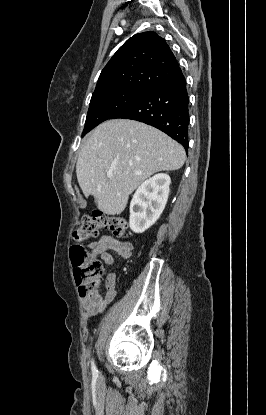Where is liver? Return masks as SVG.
Wrapping results in <instances>:
<instances>
[{
  "mask_svg": "<svg viewBox=\"0 0 266 415\" xmlns=\"http://www.w3.org/2000/svg\"><path fill=\"white\" fill-rule=\"evenodd\" d=\"M183 147L160 130L129 119L108 120L82 141L76 175L85 197L105 214H121L129 195L159 171L180 169ZM113 177L108 178L107 173Z\"/></svg>",
  "mask_w": 266,
  "mask_h": 415,
  "instance_id": "obj_1",
  "label": "liver"
}]
</instances>
